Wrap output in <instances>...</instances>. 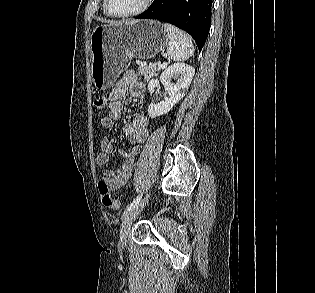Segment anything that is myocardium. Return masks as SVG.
Masks as SVG:
<instances>
[{
  "label": "myocardium",
  "instance_id": "obj_1",
  "mask_svg": "<svg viewBox=\"0 0 315 293\" xmlns=\"http://www.w3.org/2000/svg\"><path fill=\"white\" fill-rule=\"evenodd\" d=\"M154 0H145L144 4L138 8L135 11L129 12V13H124V14H119V13H115L114 11H112L111 7H110V0H104V6L105 9L107 11V13L110 16L113 17H117V18H127V17H133V16H137L142 14L143 12H145L146 10L149 9V7L152 5Z\"/></svg>",
  "mask_w": 315,
  "mask_h": 293
}]
</instances>
